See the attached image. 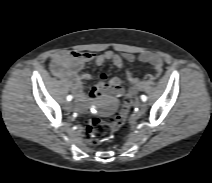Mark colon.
Returning a JSON list of instances; mask_svg holds the SVG:
<instances>
[{
    "mask_svg": "<svg viewBox=\"0 0 212 183\" xmlns=\"http://www.w3.org/2000/svg\"><path fill=\"white\" fill-rule=\"evenodd\" d=\"M132 96L127 95L118 114L111 120L93 118L87 123V137L92 145L110 141L128 118Z\"/></svg>",
    "mask_w": 212,
    "mask_h": 183,
    "instance_id": "obj_1",
    "label": "colon"
}]
</instances>
